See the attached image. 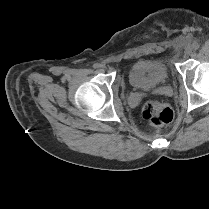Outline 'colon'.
<instances>
[{
	"label": "colon",
	"instance_id": "1",
	"mask_svg": "<svg viewBox=\"0 0 209 209\" xmlns=\"http://www.w3.org/2000/svg\"><path fill=\"white\" fill-rule=\"evenodd\" d=\"M142 116L147 123L153 126H165L173 120L174 111L167 104L150 101L144 105Z\"/></svg>",
	"mask_w": 209,
	"mask_h": 209
}]
</instances>
